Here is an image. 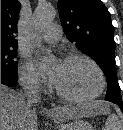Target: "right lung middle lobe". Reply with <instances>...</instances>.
Listing matches in <instances>:
<instances>
[{"mask_svg": "<svg viewBox=\"0 0 123 130\" xmlns=\"http://www.w3.org/2000/svg\"><path fill=\"white\" fill-rule=\"evenodd\" d=\"M17 56V47L1 46V75L17 78L18 62L14 60Z\"/></svg>", "mask_w": 123, "mask_h": 130, "instance_id": "1", "label": "right lung middle lobe"}]
</instances>
